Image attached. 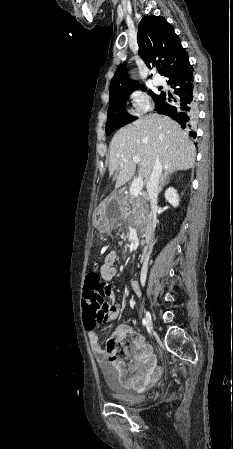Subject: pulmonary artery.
I'll use <instances>...</instances> for the list:
<instances>
[{"instance_id": "pulmonary-artery-1", "label": "pulmonary artery", "mask_w": 233, "mask_h": 449, "mask_svg": "<svg viewBox=\"0 0 233 449\" xmlns=\"http://www.w3.org/2000/svg\"><path fill=\"white\" fill-rule=\"evenodd\" d=\"M153 82H154L155 85H158V86L159 85H163L165 83L164 79L161 76H159V75H155L154 76Z\"/></svg>"}]
</instances>
